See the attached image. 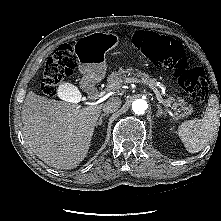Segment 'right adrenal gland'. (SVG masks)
Returning a JSON list of instances; mask_svg holds the SVG:
<instances>
[{
  "label": "right adrenal gland",
  "instance_id": "obj_1",
  "mask_svg": "<svg viewBox=\"0 0 221 221\" xmlns=\"http://www.w3.org/2000/svg\"><path fill=\"white\" fill-rule=\"evenodd\" d=\"M108 116V114L106 113V114H102L100 117H99V120H98V122L96 123V127H98L99 125H101L102 123H103V118L104 117H107Z\"/></svg>",
  "mask_w": 221,
  "mask_h": 221
}]
</instances>
